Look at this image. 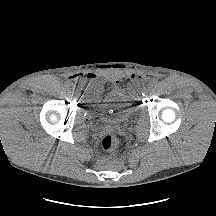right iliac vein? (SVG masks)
<instances>
[{
    "instance_id": "63e3f726",
    "label": "right iliac vein",
    "mask_w": 216,
    "mask_h": 216,
    "mask_svg": "<svg viewBox=\"0 0 216 216\" xmlns=\"http://www.w3.org/2000/svg\"><path fill=\"white\" fill-rule=\"evenodd\" d=\"M71 94H77V89H72Z\"/></svg>"
}]
</instances>
